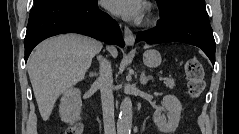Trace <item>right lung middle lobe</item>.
I'll use <instances>...</instances> for the list:
<instances>
[{"label":"right lung middle lobe","mask_w":239,"mask_h":134,"mask_svg":"<svg viewBox=\"0 0 239 134\" xmlns=\"http://www.w3.org/2000/svg\"><path fill=\"white\" fill-rule=\"evenodd\" d=\"M40 1H42V0H35V1H34V4H37V3H39Z\"/></svg>","instance_id":"dd1d6c3e"}]
</instances>
